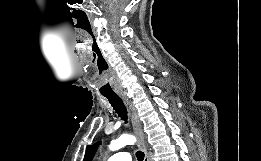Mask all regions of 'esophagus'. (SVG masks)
Here are the masks:
<instances>
[{
    "label": "esophagus",
    "mask_w": 261,
    "mask_h": 161,
    "mask_svg": "<svg viewBox=\"0 0 261 161\" xmlns=\"http://www.w3.org/2000/svg\"><path fill=\"white\" fill-rule=\"evenodd\" d=\"M120 97L122 98V100L124 101V103L126 104V106L129 109L131 121H132V125H133V130H134L135 135L137 136V145L145 154L144 161H149L147 150H146V145H145V136H144V132H143L142 125H141L139 116L137 114V111H136L134 105L126 97L125 94H120Z\"/></svg>",
    "instance_id": "1"
}]
</instances>
